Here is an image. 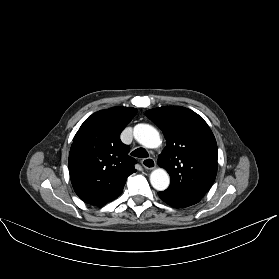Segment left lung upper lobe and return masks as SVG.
<instances>
[{"label": "left lung upper lobe", "mask_w": 279, "mask_h": 279, "mask_svg": "<svg viewBox=\"0 0 279 279\" xmlns=\"http://www.w3.org/2000/svg\"><path fill=\"white\" fill-rule=\"evenodd\" d=\"M146 116L166 139L158 156V165L171 178L166 191L200 201L217 174V143L211 129L201 116L181 106L150 109Z\"/></svg>", "instance_id": "left-lung-upper-lobe-1"}]
</instances>
